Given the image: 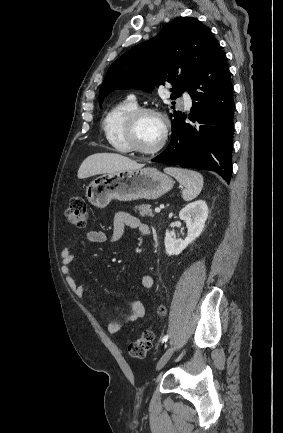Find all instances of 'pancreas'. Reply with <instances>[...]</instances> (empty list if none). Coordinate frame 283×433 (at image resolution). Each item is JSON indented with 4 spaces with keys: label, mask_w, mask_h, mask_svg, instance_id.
<instances>
[{
    "label": "pancreas",
    "mask_w": 283,
    "mask_h": 433,
    "mask_svg": "<svg viewBox=\"0 0 283 433\" xmlns=\"http://www.w3.org/2000/svg\"><path fill=\"white\" fill-rule=\"evenodd\" d=\"M136 208L139 210L140 217H145V214H147V217H154L151 204H139Z\"/></svg>",
    "instance_id": "pancreas-1"
}]
</instances>
